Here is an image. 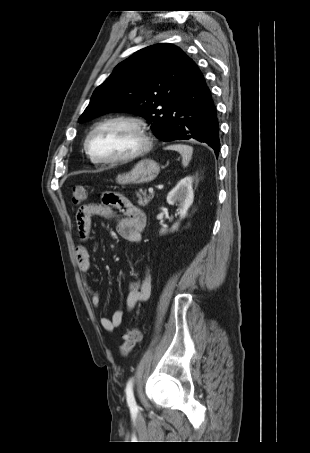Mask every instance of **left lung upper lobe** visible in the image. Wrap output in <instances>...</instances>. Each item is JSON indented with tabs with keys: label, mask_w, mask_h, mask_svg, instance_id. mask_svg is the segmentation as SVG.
<instances>
[{
	"label": "left lung upper lobe",
	"mask_w": 310,
	"mask_h": 453,
	"mask_svg": "<svg viewBox=\"0 0 310 453\" xmlns=\"http://www.w3.org/2000/svg\"><path fill=\"white\" fill-rule=\"evenodd\" d=\"M191 59L177 46L143 48L119 63L93 93L79 122L105 113L128 111L152 122L160 138L169 112L188 76Z\"/></svg>",
	"instance_id": "obj_1"
}]
</instances>
